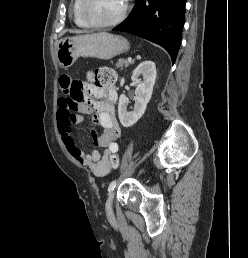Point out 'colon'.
Instances as JSON below:
<instances>
[{
    "instance_id": "obj_1",
    "label": "colon",
    "mask_w": 248,
    "mask_h": 258,
    "mask_svg": "<svg viewBox=\"0 0 248 258\" xmlns=\"http://www.w3.org/2000/svg\"><path fill=\"white\" fill-rule=\"evenodd\" d=\"M88 83H93L102 87L112 86L117 78L116 72L110 68H100L96 71H91L87 75ZM86 87L85 83L78 82V91L79 95L75 96L76 98H80L83 93V89ZM119 164V157L114 155L111 159V167L113 169L117 168Z\"/></svg>"
}]
</instances>
